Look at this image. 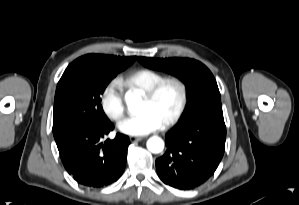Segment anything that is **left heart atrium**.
Wrapping results in <instances>:
<instances>
[{
    "mask_svg": "<svg viewBox=\"0 0 299 205\" xmlns=\"http://www.w3.org/2000/svg\"><path fill=\"white\" fill-rule=\"evenodd\" d=\"M162 126L160 120L151 112H142L119 124L121 132L131 136H144L158 130Z\"/></svg>",
    "mask_w": 299,
    "mask_h": 205,
    "instance_id": "left-heart-atrium-1",
    "label": "left heart atrium"
}]
</instances>
